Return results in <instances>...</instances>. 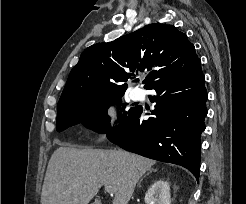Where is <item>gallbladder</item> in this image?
<instances>
[{"label": "gallbladder", "instance_id": "gallbladder-1", "mask_svg": "<svg viewBox=\"0 0 246 204\" xmlns=\"http://www.w3.org/2000/svg\"><path fill=\"white\" fill-rule=\"evenodd\" d=\"M92 204H100V203H98L97 201H95V202H93Z\"/></svg>", "mask_w": 246, "mask_h": 204}]
</instances>
